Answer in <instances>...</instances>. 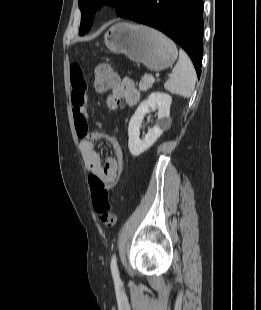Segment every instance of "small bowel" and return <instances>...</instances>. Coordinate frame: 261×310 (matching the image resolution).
<instances>
[{"mask_svg":"<svg viewBox=\"0 0 261 310\" xmlns=\"http://www.w3.org/2000/svg\"><path fill=\"white\" fill-rule=\"evenodd\" d=\"M70 81L74 122L77 135L82 139L80 149L85 165L92 174L114 186L118 178V162L115 158L109 157L102 164L101 156L95 148L94 141L107 139L113 144L118 141L113 136L100 131V124L98 123H95L97 130L88 132L90 112L86 100V84L82 68L77 63L71 65ZM121 100H124L130 107L135 106L140 100V92L129 77L121 80L116 79L111 88V93L106 97V104L109 108L115 109Z\"/></svg>","mask_w":261,"mask_h":310,"instance_id":"small-bowel-1","label":"small bowel"}]
</instances>
